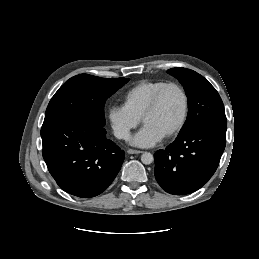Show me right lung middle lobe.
<instances>
[{"label":"right lung middle lobe","instance_id":"right-lung-middle-lobe-1","mask_svg":"<svg viewBox=\"0 0 259 259\" xmlns=\"http://www.w3.org/2000/svg\"><path fill=\"white\" fill-rule=\"evenodd\" d=\"M128 81V78L103 79L88 74L70 78L50 100L43 124L79 116L104 126L106 99Z\"/></svg>","mask_w":259,"mask_h":259}]
</instances>
